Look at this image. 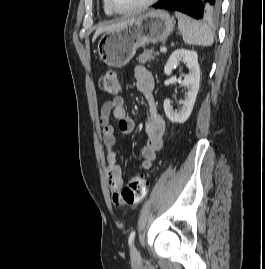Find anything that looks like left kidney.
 Segmentation results:
<instances>
[{
    "mask_svg": "<svg viewBox=\"0 0 265 269\" xmlns=\"http://www.w3.org/2000/svg\"><path fill=\"white\" fill-rule=\"evenodd\" d=\"M179 62L187 64L189 69V73L182 81V85L187 87L185 99L182 101V108L179 111H175L171 106L170 99H165L163 105L167 118L174 123H184L189 118L200 84V67L197 53L186 49L175 50L164 67V73L170 75Z\"/></svg>",
    "mask_w": 265,
    "mask_h": 269,
    "instance_id": "5707ae66",
    "label": "left kidney"
}]
</instances>
